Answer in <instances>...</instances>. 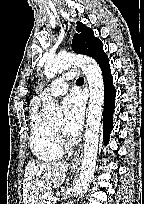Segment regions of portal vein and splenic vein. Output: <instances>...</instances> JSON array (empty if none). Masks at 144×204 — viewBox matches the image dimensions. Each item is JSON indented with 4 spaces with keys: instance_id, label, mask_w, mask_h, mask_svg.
Wrapping results in <instances>:
<instances>
[{
    "instance_id": "portal-vein-and-splenic-vein-1",
    "label": "portal vein and splenic vein",
    "mask_w": 144,
    "mask_h": 204,
    "mask_svg": "<svg viewBox=\"0 0 144 204\" xmlns=\"http://www.w3.org/2000/svg\"><path fill=\"white\" fill-rule=\"evenodd\" d=\"M48 204H51L52 202H55V201H57V197L56 196H50V197H48Z\"/></svg>"
}]
</instances>
